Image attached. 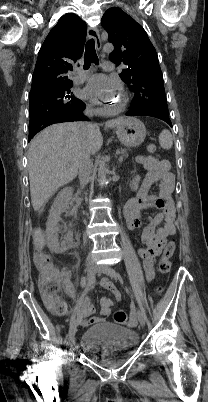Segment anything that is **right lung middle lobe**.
Wrapping results in <instances>:
<instances>
[{"instance_id":"obj_1","label":"right lung middle lobe","mask_w":208,"mask_h":402,"mask_svg":"<svg viewBox=\"0 0 208 402\" xmlns=\"http://www.w3.org/2000/svg\"><path fill=\"white\" fill-rule=\"evenodd\" d=\"M72 81L62 80L40 84L30 91V121L38 116L76 110L82 103L71 91Z\"/></svg>"}]
</instances>
